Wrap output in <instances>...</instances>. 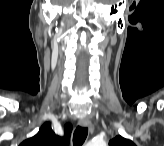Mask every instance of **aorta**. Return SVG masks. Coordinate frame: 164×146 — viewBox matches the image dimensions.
I'll return each mask as SVG.
<instances>
[{
  "mask_svg": "<svg viewBox=\"0 0 164 146\" xmlns=\"http://www.w3.org/2000/svg\"><path fill=\"white\" fill-rule=\"evenodd\" d=\"M90 146H105V142L102 141V140L92 141V142L90 143Z\"/></svg>",
  "mask_w": 164,
  "mask_h": 146,
  "instance_id": "obj_1",
  "label": "aorta"
}]
</instances>
